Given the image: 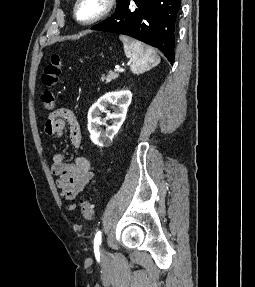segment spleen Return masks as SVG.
<instances>
[{
    "label": "spleen",
    "instance_id": "spleen-1",
    "mask_svg": "<svg viewBox=\"0 0 255 287\" xmlns=\"http://www.w3.org/2000/svg\"><path fill=\"white\" fill-rule=\"evenodd\" d=\"M119 40L124 44L125 56L131 58V70L134 74L138 72V70H142V68H152V66L159 64L160 58L155 56L152 48H149L146 44L132 40V38H128V36H119ZM150 56H152V58H150Z\"/></svg>",
    "mask_w": 255,
    "mask_h": 287
}]
</instances>
